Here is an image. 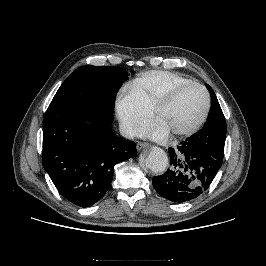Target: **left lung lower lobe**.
Here are the masks:
<instances>
[{"label":"left lung lower lobe","instance_id":"obj_1","mask_svg":"<svg viewBox=\"0 0 266 266\" xmlns=\"http://www.w3.org/2000/svg\"><path fill=\"white\" fill-rule=\"evenodd\" d=\"M168 152L170 167L163 175L153 177V186L160 196L172 202L198 197L210 186L222 165V159L185 141L177 148H169Z\"/></svg>","mask_w":266,"mask_h":266}]
</instances>
